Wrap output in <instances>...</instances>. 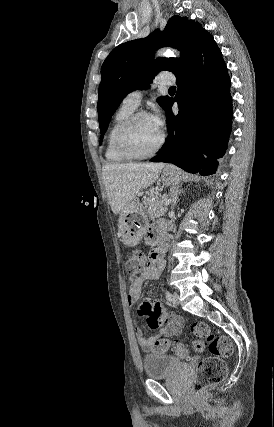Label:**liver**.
<instances>
[{
    "label": "liver",
    "mask_w": 274,
    "mask_h": 427,
    "mask_svg": "<svg viewBox=\"0 0 274 427\" xmlns=\"http://www.w3.org/2000/svg\"><path fill=\"white\" fill-rule=\"evenodd\" d=\"M164 164H107L103 166V180L113 214L130 208L132 200L143 188L152 186L160 176Z\"/></svg>",
    "instance_id": "liver-1"
}]
</instances>
